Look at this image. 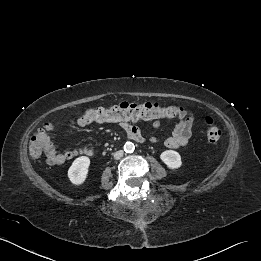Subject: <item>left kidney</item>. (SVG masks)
<instances>
[{
    "label": "left kidney",
    "instance_id": "left-kidney-1",
    "mask_svg": "<svg viewBox=\"0 0 261 261\" xmlns=\"http://www.w3.org/2000/svg\"><path fill=\"white\" fill-rule=\"evenodd\" d=\"M160 159L169 169H178L182 165L180 154L174 150H166L162 152Z\"/></svg>",
    "mask_w": 261,
    "mask_h": 261
}]
</instances>
